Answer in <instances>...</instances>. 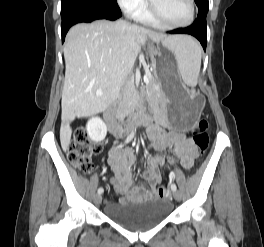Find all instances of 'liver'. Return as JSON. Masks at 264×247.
<instances>
[{
	"mask_svg": "<svg viewBox=\"0 0 264 247\" xmlns=\"http://www.w3.org/2000/svg\"><path fill=\"white\" fill-rule=\"evenodd\" d=\"M178 36L131 25L125 21L80 23L67 33L64 44L65 79L62 90L60 142H71L70 122L105 111L119 96L147 39L172 43ZM101 92L102 96L96 93Z\"/></svg>",
	"mask_w": 264,
	"mask_h": 247,
	"instance_id": "obj_1",
	"label": "liver"
}]
</instances>
